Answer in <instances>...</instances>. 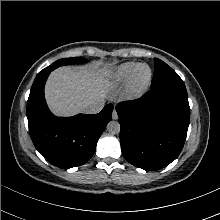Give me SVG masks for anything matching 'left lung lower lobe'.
Returning a JSON list of instances; mask_svg holds the SVG:
<instances>
[{
	"instance_id": "0a47b994",
	"label": "left lung lower lobe",
	"mask_w": 220,
	"mask_h": 220,
	"mask_svg": "<svg viewBox=\"0 0 220 220\" xmlns=\"http://www.w3.org/2000/svg\"><path fill=\"white\" fill-rule=\"evenodd\" d=\"M121 150L132 165L159 170L180 154L190 119L188 95L153 89L140 99L120 102Z\"/></svg>"
}]
</instances>
